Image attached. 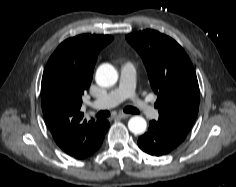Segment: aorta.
Instances as JSON below:
<instances>
[{"instance_id": "obj_1", "label": "aorta", "mask_w": 236, "mask_h": 187, "mask_svg": "<svg viewBox=\"0 0 236 187\" xmlns=\"http://www.w3.org/2000/svg\"><path fill=\"white\" fill-rule=\"evenodd\" d=\"M96 83L102 87L113 86L118 80L116 69L110 64H102L98 67L95 76ZM147 127L146 120L141 116H134L128 122L129 130L134 134H142Z\"/></svg>"}]
</instances>
